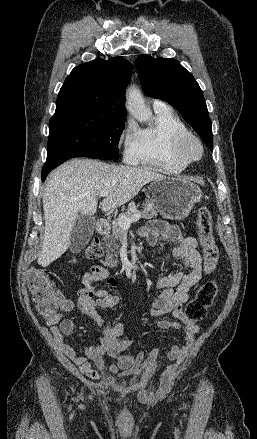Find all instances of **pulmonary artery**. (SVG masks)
<instances>
[{
  "instance_id": "obj_1",
  "label": "pulmonary artery",
  "mask_w": 257,
  "mask_h": 439,
  "mask_svg": "<svg viewBox=\"0 0 257 439\" xmlns=\"http://www.w3.org/2000/svg\"><path fill=\"white\" fill-rule=\"evenodd\" d=\"M153 108L155 111H159V110L166 109L168 107H167L166 103L159 101V100H155L153 102Z\"/></svg>"
}]
</instances>
